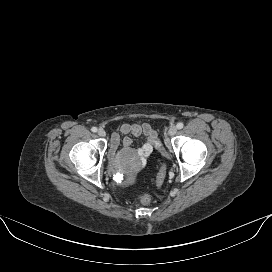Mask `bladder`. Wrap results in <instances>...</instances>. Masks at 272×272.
<instances>
[{"label":"bladder","mask_w":272,"mask_h":272,"mask_svg":"<svg viewBox=\"0 0 272 272\" xmlns=\"http://www.w3.org/2000/svg\"><path fill=\"white\" fill-rule=\"evenodd\" d=\"M113 159V155L111 154V152L108 154V160H112Z\"/></svg>","instance_id":"31cf9c89"}]
</instances>
